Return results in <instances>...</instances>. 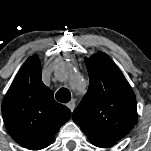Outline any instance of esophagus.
Listing matches in <instances>:
<instances>
[{"mask_svg": "<svg viewBox=\"0 0 151 151\" xmlns=\"http://www.w3.org/2000/svg\"><path fill=\"white\" fill-rule=\"evenodd\" d=\"M67 107L73 111L75 109V101L71 100L69 103H67Z\"/></svg>", "mask_w": 151, "mask_h": 151, "instance_id": "1", "label": "esophagus"}]
</instances>
